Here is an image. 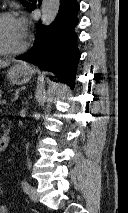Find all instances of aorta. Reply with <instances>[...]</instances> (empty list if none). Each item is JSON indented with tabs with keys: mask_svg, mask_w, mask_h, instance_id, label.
I'll use <instances>...</instances> for the list:
<instances>
[{
	"mask_svg": "<svg viewBox=\"0 0 128 213\" xmlns=\"http://www.w3.org/2000/svg\"><path fill=\"white\" fill-rule=\"evenodd\" d=\"M60 0H42L41 21L44 25H50L59 12Z\"/></svg>",
	"mask_w": 128,
	"mask_h": 213,
	"instance_id": "762f6f07",
	"label": "aorta"
}]
</instances>
